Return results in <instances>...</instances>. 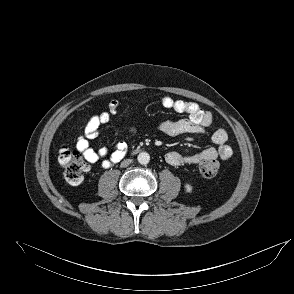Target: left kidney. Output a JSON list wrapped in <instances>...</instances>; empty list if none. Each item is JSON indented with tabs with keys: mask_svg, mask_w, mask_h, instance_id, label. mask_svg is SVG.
<instances>
[{
	"mask_svg": "<svg viewBox=\"0 0 294 294\" xmlns=\"http://www.w3.org/2000/svg\"><path fill=\"white\" fill-rule=\"evenodd\" d=\"M185 190H186V192L191 193L193 188L190 184H185Z\"/></svg>",
	"mask_w": 294,
	"mask_h": 294,
	"instance_id": "obj_1",
	"label": "left kidney"
}]
</instances>
